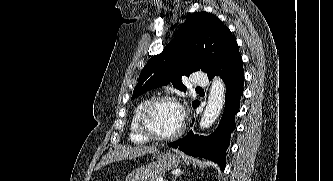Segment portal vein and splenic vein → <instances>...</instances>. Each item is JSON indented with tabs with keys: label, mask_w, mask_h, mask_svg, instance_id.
Returning <instances> with one entry per match:
<instances>
[{
	"label": "portal vein and splenic vein",
	"mask_w": 333,
	"mask_h": 181,
	"mask_svg": "<svg viewBox=\"0 0 333 181\" xmlns=\"http://www.w3.org/2000/svg\"><path fill=\"white\" fill-rule=\"evenodd\" d=\"M158 181H164V180H163V178H159V180H158Z\"/></svg>",
	"instance_id": "18ae733b"
}]
</instances>
